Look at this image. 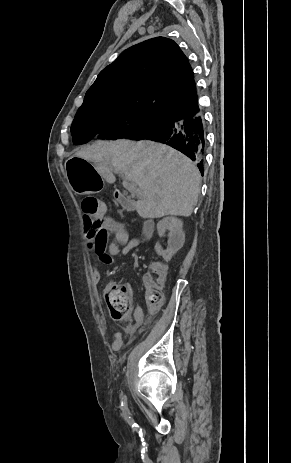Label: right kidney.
I'll return each mask as SVG.
<instances>
[{
	"label": "right kidney",
	"mask_w": 291,
	"mask_h": 463,
	"mask_svg": "<svg viewBox=\"0 0 291 463\" xmlns=\"http://www.w3.org/2000/svg\"><path fill=\"white\" fill-rule=\"evenodd\" d=\"M157 230L160 237H164L168 230V247L163 250L159 243L156 244V251L162 255L165 260H169L173 254L182 248L185 242L182 220L175 217H166L157 224Z\"/></svg>",
	"instance_id": "ca27d5eb"
}]
</instances>
